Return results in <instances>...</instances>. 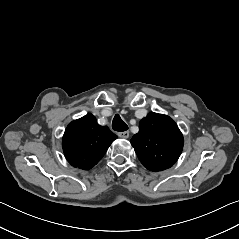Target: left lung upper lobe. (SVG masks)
Returning <instances> with one entry per match:
<instances>
[{
    "label": "left lung upper lobe",
    "instance_id": "1",
    "mask_svg": "<svg viewBox=\"0 0 239 239\" xmlns=\"http://www.w3.org/2000/svg\"><path fill=\"white\" fill-rule=\"evenodd\" d=\"M131 144L141 163L153 172L170 168L179 158L184 139L169 116L151 112L140 121Z\"/></svg>",
    "mask_w": 239,
    "mask_h": 239
}]
</instances>
